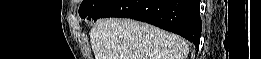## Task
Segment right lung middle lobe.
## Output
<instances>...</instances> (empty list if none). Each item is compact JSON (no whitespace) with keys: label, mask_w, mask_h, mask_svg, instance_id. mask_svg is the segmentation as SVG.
<instances>
[{"label":"right lung middle lobe","mask_w":261,"mask_h":59,"mask_svg":"<svg viewBox=\"0 0 261 59\" xmlns=\"http://www.w3.org/2000/svg\"><path fill=\"white\" fill-rule=\"evenodd\" d=\"M112 0H84L79 8V15L82 18L92 16L98 13L102 8L109 4Z\"/></svg>","instance_id":"1"}]
</instances>
